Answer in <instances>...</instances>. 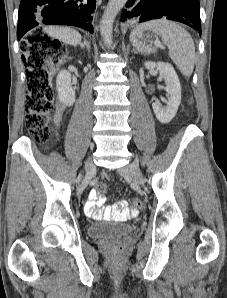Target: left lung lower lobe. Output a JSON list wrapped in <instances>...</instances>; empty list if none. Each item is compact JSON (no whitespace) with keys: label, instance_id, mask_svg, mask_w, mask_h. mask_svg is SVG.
<instances>
[{"label":"left lung lower lobe","instance_id":"obj_1","mask_svg":"<svg viewBox=\"0 0 227 298\" xmlns=\"http://www.w3.org/2000/svg\"><path fill=\"white\" fill-rule=\"evenodd\" d=\"M122 21L128 25L152 19L182 22L201 35L199 0H128Z\"/></svg>","mask_w":227,"mask_h":298}]
</instances>
